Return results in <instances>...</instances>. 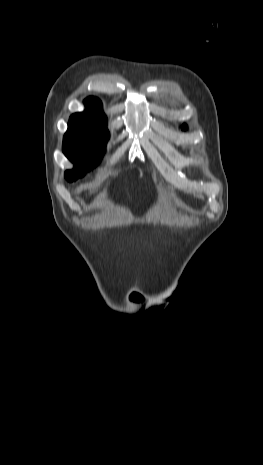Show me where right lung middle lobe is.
<instances>
[{
	"label": "right lung middle lobe",
	"instance_id": "dd1d6c3e",
	"mask_svg": "<svg viewBox=\"0 0 263 465\" xmlns=\"http://www.w3.org/2000/svg\"><path fill=\"white\" fill-rule=\"evenodd\" d=\"M106 124L70 118L63 138V153L75 167L65 172L66 180L76 181L100 162L109 139Z\"/></svg>",
	"mask_w": 263,
	"mask_h": 465
}]
</instances>
